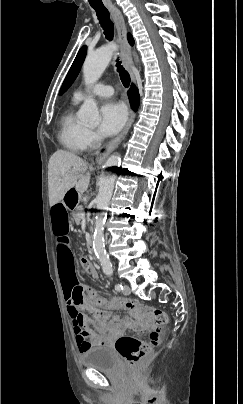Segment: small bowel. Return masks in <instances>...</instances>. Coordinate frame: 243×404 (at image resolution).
Masks as SVG:
<instances>
[{
	"label": "small bowel",
	"instance_id": "obj_1",
	"mask_svg": "<svg viewBox=\"0 0 243 404\" xmlns=\"http://www.w3.org/2000/svg\"><path fill=\"white\" fill-rule=\"evenodd\" d=\"M50 221L55 237L59 276L78 350L82 354L90 347L111 345L116 338L123 335V324L115 317L112 322L99 319L97 329H93L89 326L88 317L78 310L79 304L84 302V292L87 289L79 284L76 277L69 238L68 208L63 198L52 204ZM92 276L96 277L94 270Z\"/></svg>",
	"mask_w": 243,
	"mask_h": 404
}]
</instances>
